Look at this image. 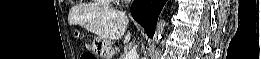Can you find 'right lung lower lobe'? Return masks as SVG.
Returning a JSON list of instances; mask_svg holds the SVG:
<instances>
[{
	"mask_svg": "<svg viewBox=\"0 0 261 59\" xmlns=\"http://www.w3.org/2000/svg\"><path fill=\"white\" fill-rule=\"evenodd\" d=\"M166 0H136L131 6L132 17L153 37L158 16Z\"/></svg>",
	"mask_w": 261,
	"mask_h": 59,
	"instance_id": "98d812e1",
	"label": "right lung lower lobe"
}]
</instances>
